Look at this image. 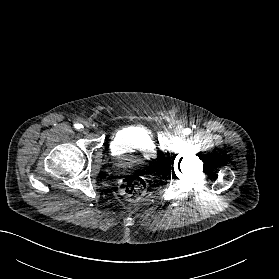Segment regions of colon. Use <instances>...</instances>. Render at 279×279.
<instances>
[{
  "mask_svg": "<svg viewBox=\"0 0 279 279\" xmlns=\"http://www.w3.org/2000/svg\"><path fill=\"white\" fill-rule=\"evenodd\" d=\"M146 181L138 175H130L120 180L119 189L121 194L128 200H138L146 192Z\"/></svg>",
  "mask_w": 279,
  "mask_h": 279,
  "instance_id": "obj_1",
  "label": "colon"
}]
</instances>
